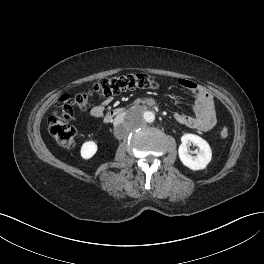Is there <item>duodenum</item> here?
Segmentation results:
<instances>
[{"mask_svg": "<svg viewBox=\"0 0 264 264\" xmlns=\"http://www.w3.org/2000/svg\"><path fill=\"white\" fill-rule=\"evenodd\" d=\"M125 111L126 110L124 108H121V107L113 108L107 112V114L105 116V121L109 122L117 116H122L125 114Z\"/></svg>", "mask_w": 264, "mask_h": 264, "instance_id": "1", "label": "duodenum"}]
</instances>
